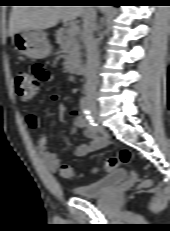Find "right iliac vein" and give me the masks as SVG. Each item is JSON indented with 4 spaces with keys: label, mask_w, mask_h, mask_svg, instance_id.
I'll return each instance as SVG.
<instances>
[{
    "label": "right iliac vein",
    "mask_w": 170,
    "mask_h": 231,
    "mask_svg": "<svg viewBox=\"0 0 170 231\" xmlns=\"http://www.w3.org/2000/svg\"><path fill=\"white\" fill-rule=\"evenodd\" d=\"M87 100H88V103H89V108L92 112V114L97 117L98 114H99V108L95 102V96L93 94H90L87 96Z\"/></svg>",
    "instance_id": "obj_1"
}]
</instances>
